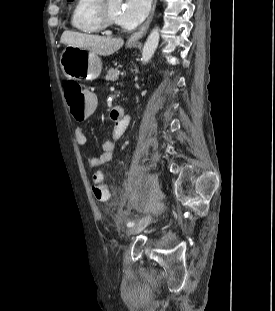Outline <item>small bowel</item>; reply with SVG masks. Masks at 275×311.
Instances as JSON below:
<instances>
[{
    "label": "small bowel",
    "mask_w": 275,
    "mask_h": 311,
    "mask_svg": "<svg viewBox=\"0 0 275 311\" xmlns=\"http://www.w3.org/2000/svg\"><path fill=\"white\" fill-rule=\"evenodd\" d=\"M129 125V117L126 116L125 110H115L108 115L106 126H113L111 138L102 144V153L99 156H87L86 165L89 168H98L112 160L113 152L117 141L122 137ZM76 143L79 146H84L87 142V137L82 127H77L74 131Z\"/></svg>",
    "instance_id": "1"
}]
</instances>
